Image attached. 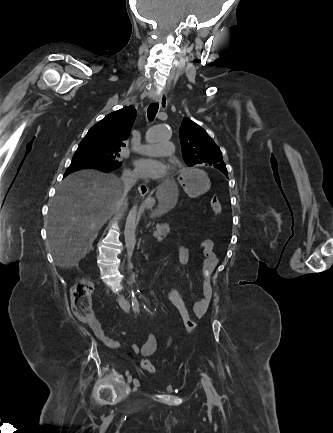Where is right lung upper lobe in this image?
Masks as SVG:
<instances>
[{
	"label": "right lung upper lobe",
	"instance_id": "obj_1",
	"mask_svg": "<svg viewBox=\"0 0 333 433\" xmlns=\"http://www.w3.org/2000/svg\"><path fill=\"white\" fill-rule=\"evenodd\" d=\"M136 117L133 106L124 107L105 116L95 124L83 140L91 142L100 148H118L125 146Z\"/></svg>",
	"mask_w": 333,
	"mask_h": 433
}]
</instances>
